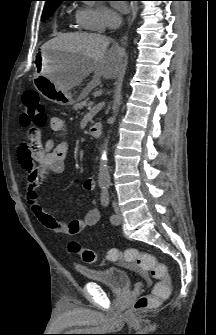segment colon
Segmentation results:
<instances>
[{"instance_id": "colon-1", "label": "colon", "mask_w": 216, "mask_h": 335, "mask_svg": "<svg viewBox=\"0 0 216 335\" xmlns=\"http://www.w3.org/2000/svg\"><path fill=\"white\" fill-rule=\"evenodd\" d=\"M47 115L41 103L40 96L35 90H25L22 94V116L21 122L28 128L29 124H38L39 129L46 123ZM71 253L78 255L85 263L94 264L97 262L95 251L81 247L77 242L71 241L68 244ZM107 260L122 261L126 264L136 266L140 271L150 275L158 280L151 294L140 296L134 309L145 310L158 303L159 300L167 299L172 290L171 278L168 275L167 267L159 263L154 255L148 252H142L135 248L118 250L112 248L106 255Z\"/></svg>"}]
</instances>
